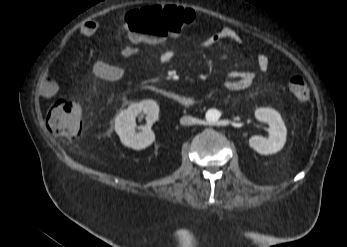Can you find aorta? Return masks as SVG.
<instances>
[{
	"label": "aorta",
	"instance_id": "762f6f07",
	"mask_svg": "<svg viewBox=\"0 0 347 247\" xmlns=\"http://www.w3.org/2000/svg\"><path fill=\"white\" fill-rule=\"evenodd\" d=\"M205 117L208 123H216L220 118V113L216 109H210L206 112Z\"/></svg>",
	"mask_w": 347,
	"mask_h": 247
}]
</instances>
